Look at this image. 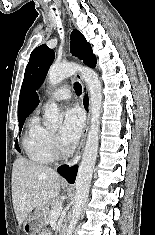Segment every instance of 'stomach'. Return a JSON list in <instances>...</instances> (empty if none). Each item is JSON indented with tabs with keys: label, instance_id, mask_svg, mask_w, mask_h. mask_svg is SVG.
Masks as SVG:
<instances>
[{
	"label": "stomach",
	"instance_id": "obj_1",
	"mask_svg": "<svg viewBox=\"0 0 155 235\" xmlns=\"http://www.w3.org/2000/svg\"><path fill=\"white\" fill-rule=\"evenodd\" d=\"M44 220V214L42 213L41 209H38L34 213L30 214L23 224V230L25 234H38L44 227Z\"/></svg>",
	"mask_w": 155,
	"mask_h": 235
}]
</instances>
